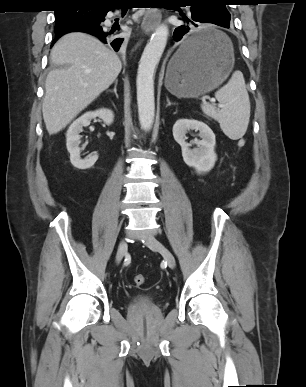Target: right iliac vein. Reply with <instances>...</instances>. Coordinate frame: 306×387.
Instances as JSON below:
<instances>
[{"label": "right iliac vein", "instance_id": "right-iliac-vein-1", "mask_svg": "<svg viewBox=\"0 0 306 387\" xmlns=\"http://www.w3.org/2000/svg\"><path fill=\"white\" fill-rule=\"evenodd\" d=\"M126 251H127V243L125 242V240L122 239L118 245V250H117V254H116V262L117 263L121 262Z\"/></svg>", "mask_w": 306, "mask_h": 387}]
</instances>
